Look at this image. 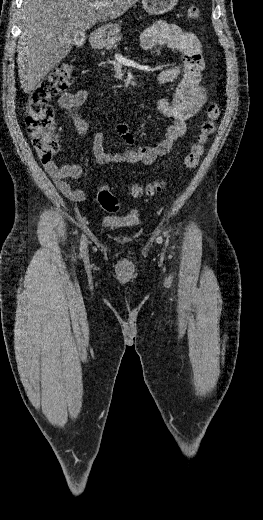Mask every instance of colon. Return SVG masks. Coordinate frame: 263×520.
<instances>
[{
	"mask_svg": "<svg viewBox=\"0 0 263 520\" xmlns=\"http://www.w3.org/2000/svg\"><path fill=\"white\" fill-rule=\"evenodd\" d=\"M189 20L197 21L201 17L200 9L191 5L186 10ZM72 66L67 63L55 67L29 94L25 105V125L31 143L40 161L48 163L58 153L60 144L54 134V110L50 101L59 92L66 90L72 83ZM221 114L217 104H211L206 110V118L200 126V133L189 153L183 159L186 170L194 169L205 150V145L214 133L216 122ZM163 189L161 182H152L145 186L133 185L130 188L134 197L143 194L153 195ZM100 206L108 212H117L120 208L118 198L109 189L102 187L97 196Z\"/></svg>",
	"mask_w": 263,
	"mask_h": 520,
	"instance_id": "1",
	"label": "colon"
}]
</instances>
